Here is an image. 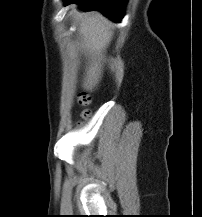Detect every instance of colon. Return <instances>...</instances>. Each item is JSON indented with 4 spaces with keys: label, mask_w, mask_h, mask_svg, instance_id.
<instances>
[{
    "label": "colon",
    "mask_w": 202,
    "mask_h": 217,
    "mask_svg": "<svg viewBox=\"0 0 202 217\" xmlns=\"http://www.w3.org/2000/svg\"><path fill=\"white\" fill-rule=\"evenodd\" d=\"M90 102H91V98H90L88 95H86V94H81V95L79 96V98H78V103H79L81 106H84V107H85V106L89 105ZM89 115H90V112H89V110H87V109H84V110L81 112V117H82L83 119L88 118Z\"/></svg>",
    "instance_id": "1"
}]
</instances>
